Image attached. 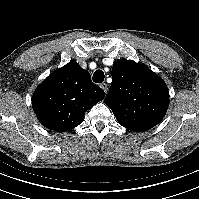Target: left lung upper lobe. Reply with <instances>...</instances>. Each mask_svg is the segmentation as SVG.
<instances>
[{
	"label": "left lung upper lobe",
	"instance_id": "5c2ea615",
	"mask_svg": "<svg viewBox=\"0 0 199 199\" xmlns=\"http://www.w3.org/2000/svg\"><path fill=\"white\" fill-rule=\"evenodd\" d=\"M104 102L120 125L142 132L163 119L169 92L165 82L147 66L123 59L112 67V83Z\"/></svg>",
	"mask_w": 199,
	"mask_h": 199
}]
</instances>
